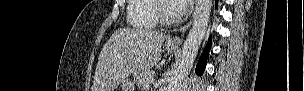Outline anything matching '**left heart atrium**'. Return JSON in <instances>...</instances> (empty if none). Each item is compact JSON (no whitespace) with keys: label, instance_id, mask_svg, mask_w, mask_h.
Segmentation results:
<instances>
[{"label":"left heart atrium","instance_id":"obj_1","mask_svg":"<svg viewBox=\"0 0 304 91\" xmlns=\"http://www.w3.org/2000/svg\"><path fill=\"white\" fill-rule=\"evenodd\" d=\"M173 2V6H174V10L176 12L177 15H182L185 14L190 5H191V0H174Z\"/></svg>","mask_w":304,"mask_h":91}]
</instances>
